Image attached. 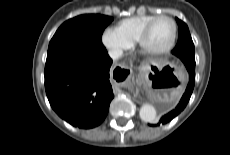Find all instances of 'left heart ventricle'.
Returning a JSON list of instances; mask_svg holds the SVG:
<instances>
[{
  "instance_id": "b2bd125f",
  "label": "left heart ventricle",
  "mask_w": 230,
  "mask_h": 155,
  "mask_svg": "<svg viewBox=\"0 0 230 155\" xmlns=\"http://www.w3.org/2000/svg\"><path fill=\"white\" fill-rule=\"evenodd\" d=\"M173 25L168 19H159L151 27L146 39V47L159 50L166 47L172 38Z\"/></svg>"
}]
</instances>
